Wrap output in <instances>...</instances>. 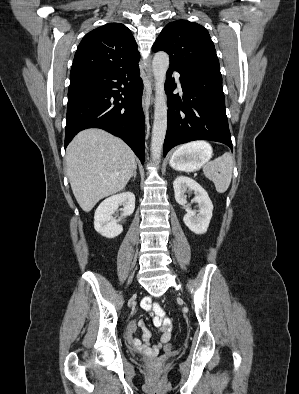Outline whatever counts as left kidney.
<instances>
[{"label": "left kidney", "instance_id": "obj_1", "mask_svg": "<svg viewBox=\"0 0 299 394\" xmlns=\"http://www.w3.org/2000/svg\"><path fill=\"white\" fill-rule=\"evenodd\" d=\"M173 188L176 202L185 206L187 212L183 218L185 225L196 234L206 233L212 218L213 204L205 189L193 179L185 176L177 177L173 182ZM187 189L194 191L193 202L198 203V213L187 205L184 195Z\"/></svg>", "mask_w": 299, "mask_h": 394}]
</instances>
